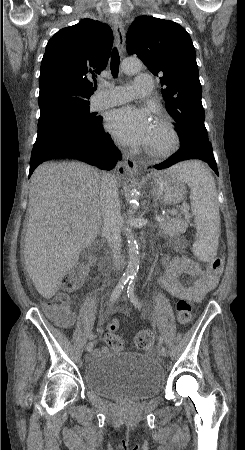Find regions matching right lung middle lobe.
Returning <instances> with one entry per match:
<instances>
[{
    "label": "right lung middle lobe",
    "mask_w": 245,
    "mask_h": 450,
    "mask_svg": "<svg viewBox=\"0 0 245 450\" xmlns=\"http://www.w3.org/2000/svg\"><path fill=\"white\" fill-rule=\"evenodd\" d=\"M97 119L90 113L89 104H62L41 109L34 150L62 138L85 134Z\"/></svg>",
    "instance_id": "right-lung-middle-lobe-1"
}]
</instances>
